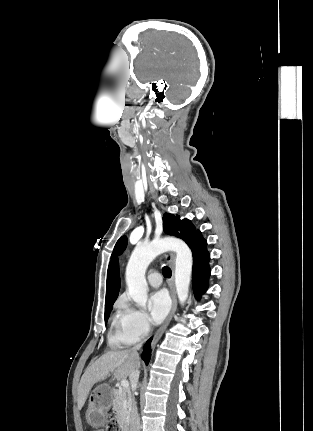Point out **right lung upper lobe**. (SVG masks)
Masks as SVG:
<instances>
[{
    "label": "right lung upper lobe",
    "mask_w": 313,
    "mask_h": 431,
    "mask_svg": "<svg viewBox=\"0 0 313 431\" xmlns=\"http://www.w3.org/2000/svg\"><path fill=\"white\" fill-rule=\"evenodd\" d=\"M120 290L118 259L112 256L107 272L105 308L113 306Z\"/></svg>",
    "instance_id": "obj_1"
}]
</instances>
